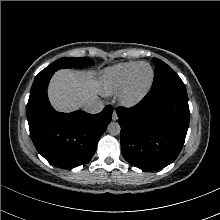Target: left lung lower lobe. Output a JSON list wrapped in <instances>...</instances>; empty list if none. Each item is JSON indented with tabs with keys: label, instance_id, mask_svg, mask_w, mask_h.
Instances as JSON below:
<instances>
[{
	"label": "left lung lower lobe",
	"instance_id": "obj_1",
	"mask_svg": "<svg viewBox=\"0 0 220 220\" xmlns=\"http://www.w3.org/2000/svg\"><path fill=\"white\" fill-rule=\"evenodd\" d=\"M121 151L131 165L155 171L179 155L189 126L188 98L150 91L136 106L116 109Z\"/></svg>",
	"mask_w": 220,
	"mask_h": 220
}]
</instances>
